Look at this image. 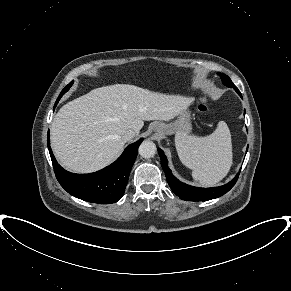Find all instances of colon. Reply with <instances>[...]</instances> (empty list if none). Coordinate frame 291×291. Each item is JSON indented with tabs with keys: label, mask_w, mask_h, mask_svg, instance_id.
I'll use <instances>...</instances> for the list:
<instances>
[{
	"label": "colon",
	"mask_w": 291,
	"mask_h": 291,
	"mask_svg": "<svg viewBox=\"0 0 291 291\" xmlns=\"http://www.w3.org/2000/svg\"><path fill=\"white\" fill-rule=\"evenodd\" d=\"M200 110L201 111H206L207 110L206 104L204 102L201 103Z\"/></svg>",
	"instance_id": "1"
}]
</instances>
